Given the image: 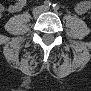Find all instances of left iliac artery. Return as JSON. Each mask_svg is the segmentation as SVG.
Segmentation results:
<instances>
[{
    "mask_svg": "<svg viewBox=\"0 0 91 91\" xmlns=\"http://www.w3.org/2000/svg\"><path fill=\"white\" fill-rule=\"evenodd\" d=\"M53 10H55V11L59 10V5L58 4H53Z\"/></svg>",
    "mask_w": 91,
    "mask_h": 91,
    "instance_id": "1",
    "label": "left iliac artery"
}]
</instances>
